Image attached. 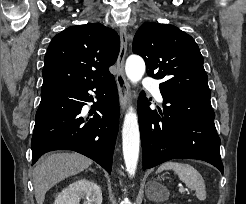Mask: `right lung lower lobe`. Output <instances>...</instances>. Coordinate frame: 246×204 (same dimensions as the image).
Returning <instances> with one entry per match:
<instances>
[{
  "instance_id": "right-lung-lower-lobe-1",
  "label": "right lung lower lobe",
  "mask_w": 246,
  "mask_h": 204,
  "mask_svg": "<svg viewBox=\"0 0 246 204\" xmlns=\"http://www.w3.org/2000/svg\"><path fill=\"white\" fill-rule=\"evenodd\" d=\"M85 102L94 103L88 115L82 111ZM118 124V91L113 76L41 91L31 141L32 165L46 152L68 149L93 159L111 173Z\"/></svg>"
}]
</instances>
